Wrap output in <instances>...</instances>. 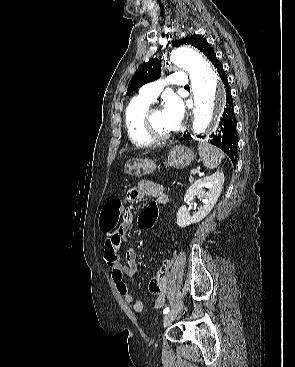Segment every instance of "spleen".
Here are the masks:
<instances>
[{
	"instance_id": "spleen-1",
	"label": "spleen",
	"mask_w": 295,
	"mask_h": 367,
	"mask_svg": "<svg viewBox=\"0 0 295 367\" xmlns=\"http://www.w3.org/2000/svg\"><path fill=\"white\" fill-rule=\"evenodd\" d=\"M198 152L203 164L208 169H214L219 166L225 154L217 147L207 142H199Z\"/></svg>"
}]
</instances>
